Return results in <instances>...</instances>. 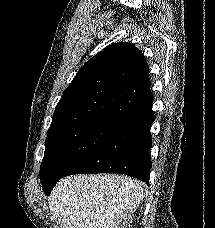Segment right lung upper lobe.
<instances>
[{
    "label": "right lung upper lobe",
    "mask_w": 215,
    "mask_h": 228,
    "mask_svg": "<svg viewBox=\"0 0 215 228\" xmlns=\"http://www.w3.org/2000/svg\"><path fill=\"white\" fill-rule=\"evenodd\" d=\"M150 85L141 51L126 42L110 45L73 78L55 108L48 133L100 117L137 121L152 113Z\"/></svg>",
    "instance_id": "1"
}]
</instances>
